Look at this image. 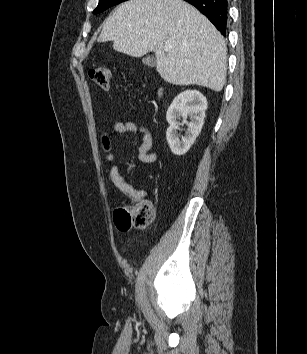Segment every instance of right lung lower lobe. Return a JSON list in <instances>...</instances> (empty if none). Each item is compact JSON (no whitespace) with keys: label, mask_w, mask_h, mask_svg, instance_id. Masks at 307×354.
I'll return each mask as SVG.
<instances>
[{"label":"right lung lower lobe","mask_w":307,"mask_h":354,"mask_svg":"<svg viewBox=\"0 0 307 354\" xmlns=\"http://www.w3.org/2000/svg\"><path fill=\"white\" fill-rule=\"evenodd\" d=\"M202 12L221 32L226 35L228 0H184Z\"/></svg>","instance_id":"right-lung-lower-lobe-1"}]
</instances>
